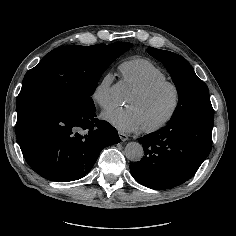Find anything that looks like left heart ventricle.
Returning <instances> with one entry per match:
<instances>
[{
    "instance_id": "left-heart-ventricle-1",
    "label": "left heart ventricle",
    "mask_w": 236,
    "mask_h": 236,
    "mask_svg": "<svg viewBox=\"0 0 236 236\" xmlns=\"http://www.w3.org/2000/svg\"><path fill=\"white\" fill-rule=\"evenodd\" d=\"M173 103L174 93L170 87H164L145 98L139 97L134 92L127 101L128 106L137 109L143 127L162 121L169 114Z\"/></svg>"
}]
</instances>
